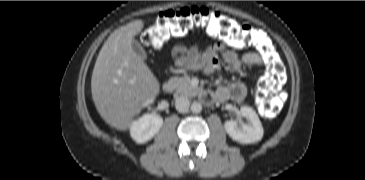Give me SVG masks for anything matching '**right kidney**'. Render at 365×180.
<instances>
[{
  "instance_id": "right-kidney-1",
  "label": "right kidney",
  "mask_w": 365,
  "mask_h": 180,
  "mask_svg": "<svg viewBox=\"0 0 365 180\" xmlns=\"http://www.w3.org/2000/svg\"><path fill=\"white\" fill-rule=\"evenodd\" d=\"M152 100L145 102L144 105H148ZM163 119L157 114L148 113L134 121L130 127L131 137L137 143H145L151 140L155 134H157L162 127Z\"/></svg>"
}]
</instances>
